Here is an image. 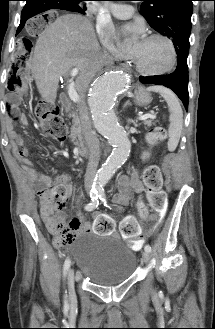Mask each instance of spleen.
<instances>
[{
  "instance_id": "obj_1",
  "label": "spleen",
  "mask_w": 215,
  "mask_h": 329,
  "mask_svg": "<svg viewBox=\"0 0 215 329\" xmlns=\"http://www.w3.org/2000/svg\"><path fill=\"white\" fill-rule=\"evenodd\" d=\"M147 91H153L159 93L166 101L170 116V126L168 129L169 141L168 149L169 151H174L179 143V139L183 127V111L180 106V102L176 95L169 89L161 86H151L147 88Z\"/></svg>"
}]
</instances>
